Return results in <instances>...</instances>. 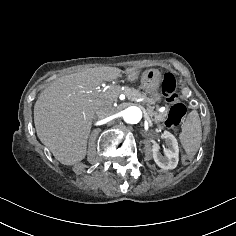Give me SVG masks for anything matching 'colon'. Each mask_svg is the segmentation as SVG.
Returning <instances> with one entry per match:
<instances>
[{"mask_svg":"<svg viewBox=\"0 0 236 236\" xmlns=\"http://www.w3.org/2000/svg\"><path fill=\"white\" fill-rule=\"evenodd\" d=\"M161 91L166 100L171 103L165 125L168 128H174L180 124L186 114V107L178 98L176 92V78L173 74L167 73L164 75Z\"/></svg>","mask_w":236,"mask_h":236,"instance_id":"1","label":"colon"}]
</instances>
